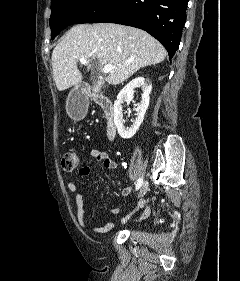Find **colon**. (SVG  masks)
I'll return each instance as SVG.
<instances>
[{
	"label": "colon",
	"instance_id": "5ec220e1",
	"mask_svg": "<svg viewBox=\"0 0 240 281\" xmlns=\"http://www.w3.org/2000/svg\"><path fill=\"white\" fill-rule=\"evenodd\" d=\"M61 165L65 171H74L81 165L79 153L74 149L66 151L62 157Z\"/></svg>",
	"mask_w": 240,
	"mask_h": 281
}]
</instances>
